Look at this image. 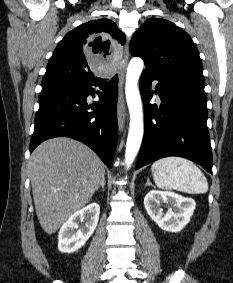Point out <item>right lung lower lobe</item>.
<instances>
[{
  "label": "right lung lower lobe",
  "mask_w": 233,
  "mask_h": 283,
  "mask_svg": "<svg viewBox=\"0 0 233 283\" xmlns=\"http://www.w3.org/2000/svg\"><path fill=\"white\" fill-rule=\"evenodd\" d=\"M117 83L116 75L109 83L99 78L85 83L57 81L42 85L30 153L47 139L66 136L89 146L111 168L118 133ZM93 86H99L103 93L98 102L88 105L87 96L95 94ZM89 108L93 111L88 112Z\"/></svg>",
  "instance_id": "1"
}]
</instances>
